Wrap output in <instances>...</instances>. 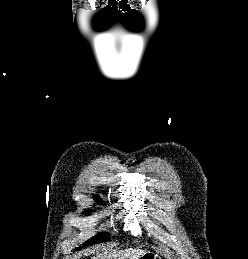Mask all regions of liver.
Segmentation results:
<instances>
[{
  "label": "liver",
  "mask_w": 248,
  "mask_h": 259,
  "mask_svg": "<svg viewBox=\"0 0 248 259\" xmlns=\"http://www.w3.org/2000/svg\"><path fill=\"white\" fill-rule=\"evenodd\" d=\"M145 251L140 249H125L122 251L103 252L91 259H138Z\"/></svg>",
  "instance_id": "1"
}]
</instances>
